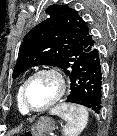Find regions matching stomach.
<instances>
[{"instance_id": "stomach-1", "label": "stomach", "mask_w": 117, "mask_h": 136, "mask_svg": "<svg viewBox=\"0 0 117 136\" xmlns=\"http://www.w3.org/2000/svg\"><path fill=\"white\" fill-rule=\"evenodd\" d=\"M54 130V121L49 117H41L31 128L33 136H45Z\"/></svg>"}]
</instances>
